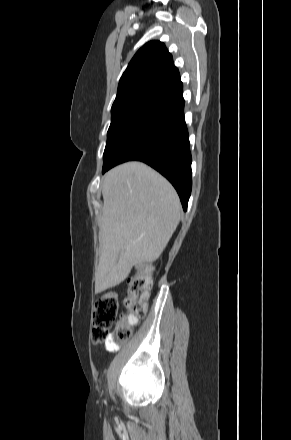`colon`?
Here are the masks:
<instances>
[{
	"mask_svg": "<svg viewBox=\"0 0 291 440\" xmlns=\"http://www.w3.org/2000/svg\"><path fill=\"white\" fill-rule=\"evenodd\" d=\"M152 267V263L147 262L138 274L128 279L122 291L127 317L141 319L146 315V300L151 287ZM118 302L119 294L116 292L106 293L96 300L91 330V339L95 344L106 341L124 343L131 337L134 325L121 323L111 331L119 312Z\"/></svg>",
	"mask_w": 291,
	"mask_h": 440,
	"instance_id": "5ec220e1",
	"label": "colon"
}]
</instances>
